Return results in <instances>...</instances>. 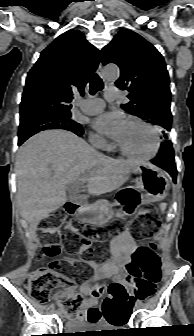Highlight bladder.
I'll return each instance as SVG.
<instances>
[{
  "label": "bladder",
  "instance_id": "31cf9c89",
  "mask_svg": "<svg viewBox=\"0 0 194 336\" xmlns=\"http://www.w3.org/2000/svg\"><path fill=\"white\" fill-rule=\"evenodd\" d=\"M87 328V324L85 322H79L73 320L70 325L67 327L70 331H79Z\"/></svg>",
  "mask_w": 194,
  "mask_h": 336
}]
</instances>
